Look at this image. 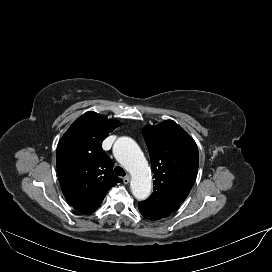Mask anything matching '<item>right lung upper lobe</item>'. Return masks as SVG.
Segmentation results:
<instances>
[{
    "instance_id": "right-lung-upper-lobe-1",
    "label": "right lung upper lobe",
    "mask_w": 272,
    "mask_h": 272,
    "mask_svg": "<svg viewBox=\"0 0 272 272\" xmlns=\"http://www.w3.org/2000/svg\"><path fill=\"white\" fill-rule=\"evenodd\" d=\"M120 123L95 112L75 120L59 141L56 163L67 202L81 213H92L108 190L122 182L113 174V162L102 141Z\"/></svg>"
}]
</instances>
